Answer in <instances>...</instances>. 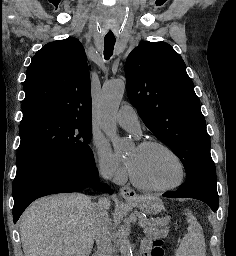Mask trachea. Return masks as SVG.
<instances>
[{
	"label": "trachea",
	"mask_w": 236,
	"mask_h": 256,
	"mask_svg": "<svg viewBox=\"0 0 236 256\" xmlns=\"http://www.w3.org/2000/svg\"><path fill=\"white\" fill-rule=\"evenodd\" d=\"M104 56L108 60L113 55L115 38H104Z\"/></svg>",
	"instance_id": "3493384b"
}]
</instances>
